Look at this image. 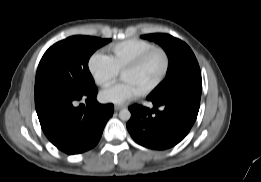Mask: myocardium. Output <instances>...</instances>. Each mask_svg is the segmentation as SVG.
<instances>
[{
    "instance_id": "obj_1",
    "label": "myocardium",
    "mask_w": 261,
    "mask_h": 182,
    "mask_svg": "<svg viewBox=\"0 0 261 182\" xmlns=\"http://www.w3.org/2000/svg\"><path fill=\"white\" fill-rule=\"evenodd\" d=\"M154 53H160L163 57L164 65L163 70L160 74V76L149 86H147L145 89H143V93H149L156 89L158 86H160L163 81L166 79L169 69H170V58L168 53L165 49L161 47H153L142 54H140L137 58H135L133 61H131L129 64H127L124 69L122 70V73L129 70H134L140 67L151 55Z\"/></svg>"
}]
</instances>
